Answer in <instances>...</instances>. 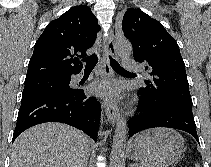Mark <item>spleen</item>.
<instances>
[{
    "mask_svg": "<svg viewBox=\"0 0 211 167\" xmlns=\"http://www.w3.org/2000/svg\"><path fill=\"white\" fill-rule=\"evenodd\" d=\"M195 167H200V165L199 164H196Z\"/></svg>",
    "mask_w": 211,
    "mask_h": 167,
    "instance_id": "3e777b00",
    "label": "spleen"
}]
</instances>
